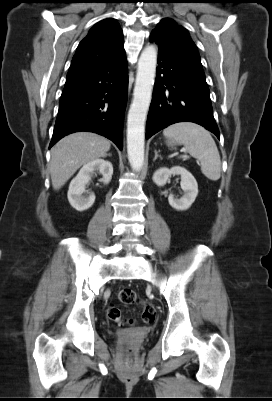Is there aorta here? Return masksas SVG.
<instances>
[{
	"label": "aorta",
	"mask_w": 272,
	"mask_h": 401,
	"mask_svg": "<svg viewBox=\"0 0 272 401\" xmlns=\"http://www.w3.org/2000/svg\"><path fill=\"white\" fill-rule=\"evenodd\" d=\"M157 48L148 45L138 60L133 100L127 117V153L131 167L140 171L144 164L145 121L156 75Z\"/></svg>",
	"instance_id": "1"
}]
</instances>
